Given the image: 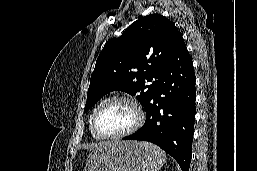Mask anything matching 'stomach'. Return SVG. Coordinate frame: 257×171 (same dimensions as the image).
<instances>
[{
    "label": "stomach",
    "mask_w": 257,
    "mask_h": 171,
    "mask_svg": "<svg viewBox=\"0 0 257 171\" xmlns=\"http://www.w3.org/2000/svg\"><path fill=\"white\" fill-rule=\"evenodd\" d=\"M148 152L137 141L113 142L89 154L85 171H146Z\"/></svg>",
    "instance_id": "obj_1"
}]
</instances>
